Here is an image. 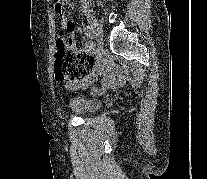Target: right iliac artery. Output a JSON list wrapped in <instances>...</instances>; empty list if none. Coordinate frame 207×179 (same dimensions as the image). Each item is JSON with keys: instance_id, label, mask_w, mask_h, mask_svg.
I'll list each match as a JSON object with an SVG mask.
<instances>
[{"instance_id": "obj_1", "label": "right iliac artery", "mask_w": 207, "mask_h": 179, "mask_svg": "<svg viewBox=\"0 0 207 179\" xmlns=\"http://www.w3.org/2000/svg\"><path fill=\"white\" fill-rule=\"evenodd\" d=\"M84 32L88 39L93 40L95 38L93 31L89 26L84 27Z\"/></svg>"}]
</instances>
